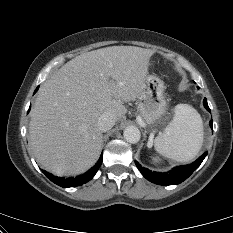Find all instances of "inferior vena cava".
<instances>
[{
  "instance_id": "1",
  "label": "inferior vena cava",
  "mask_w": 233,
  "mask_h": 233,
  "mask_svg": "<svg viewBox=\"0 0 233 233\" xmlns=\"http://www.w3.org/2000/svg\"><path fill=\"white\" fill-rule=\"evenodd\" d=\"M115 122V116L112 113L105 112L99 117L97 126L101 132H106L115 125Z\"/></svg>"
}]
</instances>
